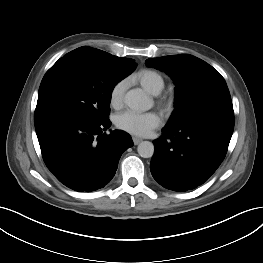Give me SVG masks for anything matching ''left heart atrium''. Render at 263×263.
<instances>
[{
	"instance_id": "39dd6f15",
	"label": "left heart atrium",
	"mask_w": 263,
	"mask_h": 263,
	"mask_svg": "<svg viewBox=\"0 0 263 263\" xmlns=\"http://www.w3.org/2000/svg\"><path fill=\"white\" fill-rule=\"evenodd\" d=\"M114 122L120 130L136 136H146L160 125L161 119L155 112L138 113L127 110L116 115Z\"/></svg>"
}]
</instances>
